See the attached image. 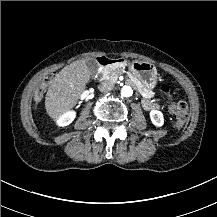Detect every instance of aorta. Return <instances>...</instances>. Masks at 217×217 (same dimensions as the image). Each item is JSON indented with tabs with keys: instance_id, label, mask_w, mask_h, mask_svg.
Wrapping results in <instances>:
<instances>
[{
	"instance_id": "762f6f07",
	"label": "aorta",
	"mask_w": 217,
	"mask_h": 217,
	"mask_svg": "<svg viewBox=\"0 0 217 217\" xmlns=\"http://www.w3.org/2000/svg\"><path fill=\"white\" fill-rule=\"evenodd\" d=\"M133 94V90L130 86H123L122 89H121V95L124 96V97H130L132 96Z\"/></svg>"
}]
</instances>
